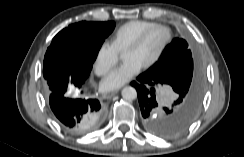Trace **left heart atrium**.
Segmentation results:
<instances>
[{
  "instance_id": "obj_1",
  "label": "left heart atrium",
  "mask_w": 244,
  "mask_h": 157,
  "mask_svg": "<svg viewBox=\"0 0 244 157\" xmlns=\"http://www.w3.org/2000/svg\"><path fill=\"white\" fill-rule=\"evenodd\" d=\"M140 69L141 66L138 63L127 60L103 80L102 88L106 91L118 89L135 76Z\"/></svg>"
}]
</instances>
